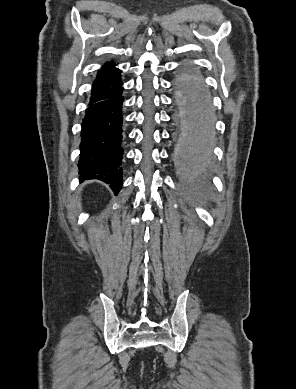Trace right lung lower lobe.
Returning <instances> with one entry per match:
<instances>
[{
  "label": "right lung lower lobe",
  "instance_id": "right-lung-lower-lobe-1",
  "mask_svg": "<svg viewBox=\"0 0 296 389\" xmlns=\"http://www.w3.org/2000/svg\"><path fill=\"white\" fill-rule=\"evenodd\" d=\"M123 87L91 100L82 121L80 159L81 181L98 179L117 195L122 185Z\"/></svg>",
  "mask_w": 296,
  "mask_h": 389
}]
</instances>
